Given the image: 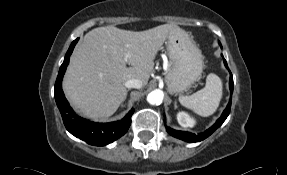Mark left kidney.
<instances>
[{
	"mask_svg": "<svg viewBox=\"0 0 287 175\" xmlns=\"http://www.w3.org/2000/svg\"><path fill=\"white\" fill-rule=\"evenodd\" d=\"M177 120L178 123L183 127H192L195 124L194 118H192L189 114L183 111L177 114Z\"/></svg>",
	"mask_w": 287,
	"mask_h": 175,
	"instance_id": "obj_1",
	"label": "left kidney"
}]
</instances>
